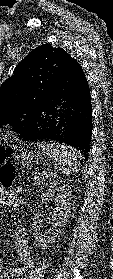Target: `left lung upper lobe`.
I'll return each instance as SVG.
<instances>
[{
	"label": "left lung upper lobe",
	"instance_id": "5c2ea615",
	"mask_svg": "<svg viewBox=\"0 0 113 279\" xmlns=\"http://www.w3.org/2000/svg\"><path fill=\"white\" fill-rule=\"evenodd\" d=\"M70 58L64 49L43 44L20 61L0 87V126L11 124L19 136L25 133L36 105Z\"/></svg>",
	"mask_w": 113,
	"mask_h": 279
}]
</instances>
